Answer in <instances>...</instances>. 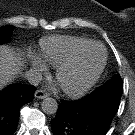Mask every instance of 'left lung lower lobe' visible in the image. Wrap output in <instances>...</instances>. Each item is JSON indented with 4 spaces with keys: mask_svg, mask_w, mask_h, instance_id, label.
<instances>
[{
    "mask_svg": "<svg viewBox=\"0 0 135 135\" xmlns=\"http://www.w3.org/2000/svg\"><path fill=\"white\" fill-rule=\"evenodd\" d=\"M123 86L104 84L76 101H64L51 120L54 135H105L116 115Z\"/></svg>",
    "mask_w": 135,
    "mask_h": 135,
    "instance_id": "obj_1",
    "label": "left lung lower lobe"
}]
</instances>
